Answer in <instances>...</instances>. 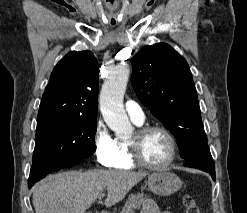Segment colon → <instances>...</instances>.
I'll list each match as a JSON object with an SVG mask.
<instances>
[{
  "label": "colon",
  "instance_id": "colon-1",
  "mask_svg": "<svg viewBox=\"0 0 247 213\" xmlns=\"http://www.w3.org/2000/svg\"><path fill=\"white\" fill-rule=\"evenodd\" d=\"M183 205L185 208V213H200V210H199L194 198L189 194L184 196Z\"/></svg>",
  "mask_w": 247,
  "mask_h": 213
}]
</instances>
